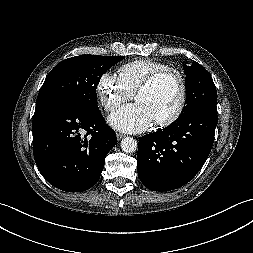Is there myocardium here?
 Masks as SVG:
<instances>
[{
  "instance_id": "f54148a6",
  "label": "myocardium",
  "mask_w": 253,
  "mask_h": 253,
  "mask_svg": "<svg viewBox=\"0 0 253 253\" xmlns=\"http://www.w3.org/2000/svg\"><path fill=\"white\" fill-rule=\"evenodd\" d=\"M165 78H171L178 89V103L175 110L167 117L154 121L157 127H168L174 124L183 114L187 103V86L184 75L173 68H167L151 74L137 89L135 95L153 89L157 83Z\"/></svg>"
}]
</instances>
